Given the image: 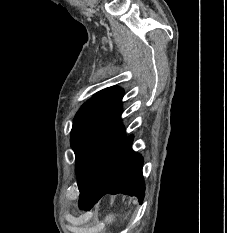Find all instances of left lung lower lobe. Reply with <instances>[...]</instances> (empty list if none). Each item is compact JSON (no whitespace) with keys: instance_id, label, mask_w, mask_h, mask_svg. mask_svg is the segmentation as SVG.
I'll list each match as a JSON object with an SVG mask.
<instances>
[{"instance_id":"left-lung-lower-lobe-1","label":"left lung lower lobe","mask_w":227,"mask_h":233,"mask_svg":"<svg viewBox=\"0 0 227 233\" xmlns=\"http://www.w3.org/2000/svg\"><path fill=\"white\" fill-rule=\"evenodd\" d=\"M133 135L126 137L113 154L97 189L79 200V207L89 210L105 194L123 193L143 201L145 184L143 158L131 148Z\"/></svg>"}]
</instances>
